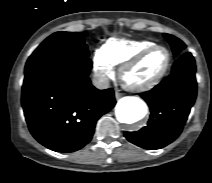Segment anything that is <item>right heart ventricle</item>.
I'll return each instance as SVG.
<instances>
[{
  "label": "right heart ventricle",
  "mask_w": 212,
  "mask_h": 183,
  "mask_svg": "<svg viewBox=\"0 0 212 183\" xmlns=\"http://www.w3.org/2000/svg\"><path fill=\"white\" fill-rule=\"evenodd\" d=\"M157 44L151 40L110 39L102 47L106 57L112 65H122L142 49Z\"/></svg>",
  "instance_id": "obj_1"
}]
</instances>
